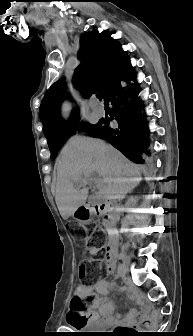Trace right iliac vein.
Returning <instances> with one entry per match:
<instances>
[{
  "label": "right iliac vein",
  "mask_w": 193,
  "mask_h": 336,
  "mask_svg": "<svg viewBox=\"0 0 193 336\" xmlns=\"http://www.w3.org/2000/svg\"><path fill=\"white\" fill-rule=\"evenodd\" d=\"M123 265H122V269H121V276H124L128 271H129V259L128 257L124 256L122 259Z\"/></svg>",
  "instance_id": "1"
}]
</instances>
